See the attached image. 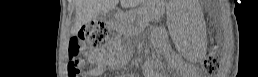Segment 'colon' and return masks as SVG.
<instances>
[{
	"instance_id": "obj_1",
	"label": "colon",
	"mask_w": 258,
	"mask_h": 77,
	"mask_svg": "<svg viewBox=\"0 0 258 77\" xmlns=\"http://www.w3.org/2000/svg\"><path fill=\"white\" fill-rule=\"evenodd\" d=\"M109 29L106 24L99 19L84 26L76 39L70 43L68 73L76 76L81 68L85 66L83 51L87 48H99L106 44ZM203 69L209 74L218 73L220 67L219 56L215 51L209 53L202 62Z\"/></svg>"
}]
</instances>
